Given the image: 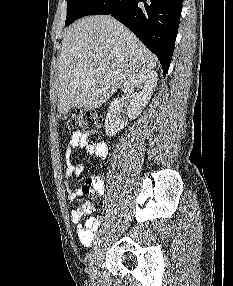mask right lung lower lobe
<instances>
[{"mask_svg": "<svg viewBox=\"0 0 233 286\" xmlns=\"http://www.w3.org/2000/svg\"><path fill=\"white\" fill-rule=\"evenodd\" d=\"M182 0H95L81 15H111L159 59L166 75L175 47ZM80 17V18H81Z\"/></svg>", "mask_w": 233, "mask_h": 286, "instance_id": "right-lung-lower-lobe-1", "label": "right lung lower lobe"}]
</instances>
